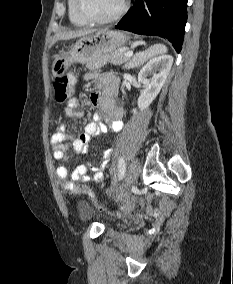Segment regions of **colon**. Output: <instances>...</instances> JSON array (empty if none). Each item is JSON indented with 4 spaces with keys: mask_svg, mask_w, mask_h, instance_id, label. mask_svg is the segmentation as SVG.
Returning <instances> with one entry per match:
<instances>
[{
    "mask_svg": "<svg viewBox=\"0 0 233 284\" xmlns=\"http://www.w3.org/2000/svg\"><path fill=\"white\" fill-rule=\"evenodd\" d=\"M166 51V47L161 44H156L149 47L147 50L140 52L135 55L133 58L131 65L132 66H139L151 58L164 54ZM76 84L75 76L71 73H63L57 76L56 81L54 83V97L55 101L58 104L65 103L74 92ZM73 192L79 195H84L90 200L97 203V198L93 190L86 186L80 185L73 189Z\"/></svg>",
    "mask_w": 233,
    "mask_h": 284,
    "instance_id": "1",
    "label": "colon"
}]
</instances>
